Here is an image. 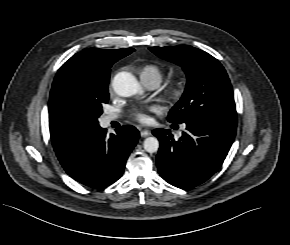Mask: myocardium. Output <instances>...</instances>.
<instances>
[{
    "label": "myocardium",
    "instance_id": "obj_1",
    "mask_svg": "<svg viewBox=\"0 0 290 245\" xmlns=\"http://www.w3.org/2000/svg\"><path fill=\"white\" fill-rule=\"evenodd\" d=\"M184 86L182 82L174 83L168 90V96L172 98H178L182 95Z\"/></svg>",
    "mask_w": 290,
    "mask_h": 245
}]
</instances>
